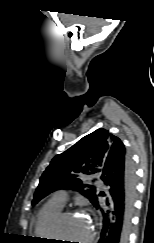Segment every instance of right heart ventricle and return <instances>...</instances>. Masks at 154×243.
<instances>
[{
    "mask_svg": "<svg viewBox=\"0 0 154 243\" xmlns=\"http://www.w3.org/2000/svg\"><path fill=\"white\" fill-rule=\"evenodd\" d=\"M63 206L48 201L39 211L35 222V234L42 239H53L51 234V223L53 219L62 211Z\"/></svg>",
    "mask_w": 154,
    "mask_h": 243,
    "instance_id": "obj_1",
    "label": "right heart ventricle"
}]
</instances>
